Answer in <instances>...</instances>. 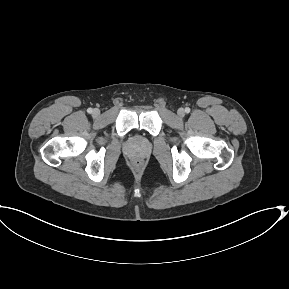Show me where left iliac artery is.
<instances>
[{
  "label": "left iliac artery",
  "instance_id": "44dca946",
  "mask_svg": "<svg viewBox=\"0 0 289 289\" xmlns=\"http://www.w3.org/2000/svg\"><path fill=\"white\" fill-rule=\"evenodd\" d=\"M185 112H186V113H189V112H190V108H189V107H186V108H185Z\"/></svg>",
  "mask_w": 289,
  "mask_h": 289
}]
</instances>
